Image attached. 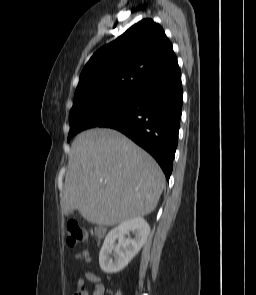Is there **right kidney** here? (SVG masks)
<instances>
[{
    "label": "right kidney",
    "instance_id": "right-kidney-1",
    "mask_svg": "<svg viewBox=\"0 0 256 295\" xmlns=\"http://www.w3.org/2000/svg\"><path fill=\"white\" fill-rule=\"evenodd\" d=\"M130 233L134 237L126 238ZM149 233L150 227L143 218L124 221L109 231L99 254L102 271L112 274L123 270L144 245ZM116 239L119 242L114 246ZM112 251H114L113 257Z\"/></svg>",
    "mask_w": 256,
    "mask_h": 295
}]
</instances>
